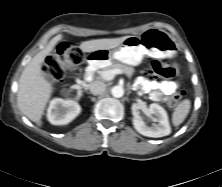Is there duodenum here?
<instances>
[{"label":"duodenum","mask_w":222,"mask_h":187,"mask_svg":"<svg viewBox=\"0 0 222 187\" xmlns=\"http://www.w3.org/2000/svg\"><path fill=\"white\" fill-rule=\"evenodd\" d=\"M95 66H96V62L95 61H91L88 66L86 67V70L84 72V80L79 83V86L81 88H84L86 85V82L90 81L93 77L94 74V70H95Z\"/></svg>","instance_id":"obj_1"}]
</instances>
